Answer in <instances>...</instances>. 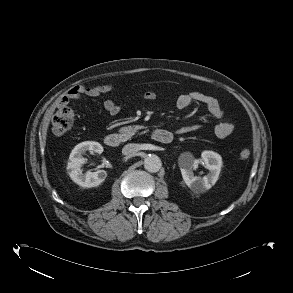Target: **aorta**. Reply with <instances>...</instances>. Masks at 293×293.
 <instances>
[{
	"label": "aorta",
	"mask_w": 293,
	"mask_h": 293,
	"mask_svg": "<svg viewBox=\"0 0 293 293\" xmlns=\"http://www.w3.org/2000/svg\"><path fill=\"white\" fill-rule=\"evenodd\" d=\"M162 162L155 154H149L144 159V168L151 173H156L160 170Z\"/></svg>",
	"instance_id": "1"
}]
</instances>
